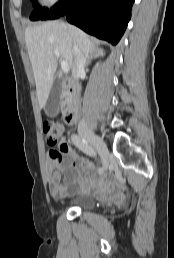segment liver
Segmentation results:
<instances>
[{"mask_svg":"<svg viewBox=\"0 0 174 258\" xmlns=\"http://www.w3.org/2000/svg\"><path fill=\"white\" fill-rule=\"evenodd\" d=\"M25 42L34 73L40 108H43L52 89L57 70V51L72 70L75 50L86 56L95 50L89 36L79 28L49 21L25 30Z\"/></svg>","mask_w":174,"mask_h":258,"instance_id":"liver-1","label":"liver"}]
</instances>
